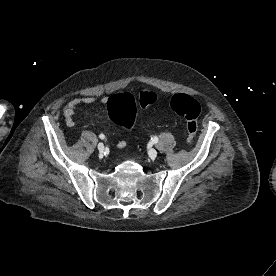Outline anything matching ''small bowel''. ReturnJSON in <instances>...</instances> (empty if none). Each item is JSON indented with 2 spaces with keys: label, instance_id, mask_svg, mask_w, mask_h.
I'll return each mask as SVG.
<instances>
[{
  "label": "small bowel",
  "instance_id": "small-bowel-1",
  "mask_svg": "<svg viewBox=\"0 0 276 276\" xmlns=\"http://www.w3.org/2000/svg\"><path fill=\"white\" fill-rule=\"evenodd\" d=\"M108 98L105 96H82L70 100L64 108V117L66 124L70 127L75 125L74 115L81 105L101 104L105 105ZM126 146L125 140H120L116 143L117 149H122Z\"/></svg>",
  "mask_w": 276,
  "mask_h": 276
}]
</instances>
